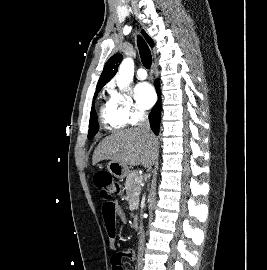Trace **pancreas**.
<instances>
[{
    "mask_svg": "<svg viewBox=\"0 0 267 270\" xmlns=\"http://www.w3.org/2000/svg\"><path fill=\"white\" fill-rule=\"evenodd\" d=\"M140 177L138 171H131L127 175L125 189L127 192V200L130 204L138 202L141 190V182H136L135 179Z\"/></svg>",
    "mask_w": 267,
    "mask_h": 270,
    "instance_id": "1",
    "label": "pancreas"
}]
</instances>
